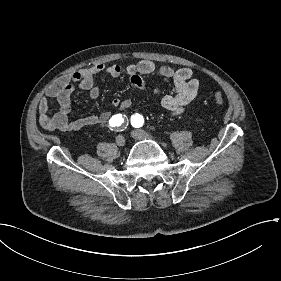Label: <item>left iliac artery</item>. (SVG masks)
Returning a JSON list of instances; mask_svg holds the SVG:
<instances>
[{
    "label": "left iliac artery",
    "mask_w": 281,
    "mask_h": 281,
    "mask_svg": "<svg viewBox=\"0 0 281 281\" xmlns=\"http://www.w3.org/2000/svg\"><path fill=\"white\" fill-rule=\"evenodd\" d=\"M144 123V118L142 115L136 113L131 116V125L135 128H139L143 125Z\"/></svg>",
    "instance_id": "obj_1"
}]
</instances>
